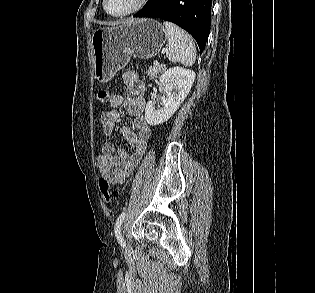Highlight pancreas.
Segmentation results:
<instances>
[{
  "instance_id": "cf45deb5",
  "label": "pancreas",
  "mask_w": 315,
  "mask_h": 293,
  "mask_svg": "<svg viewBox=\"0 0 315 293\" xmlns=\"http://www.w3.org/2000/svg\"><path fill=\"white\" fill-rule=\"evenodd\" d=\"M165 66L163 65H154L153 67H149L147 71V75L150 76V79L157 78L159 73H163L165 71Z\"/></svg>"
}]
</instances>
